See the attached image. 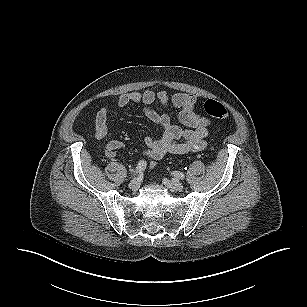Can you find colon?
I'll return each instance as SVG.
<instances>
[{
  "label": "colon",
  "instance_id": "1",
  "mask_svg": "<svg viewBox=\"0 0 307 307\" xmlns=\"http://www.w3.org/2000/svg\"><path fill=\"white\" fill-rule=\"evenodd\" d=\"M204 111L207 115L216 120H223L228 116L226 108L213 99H209L204 103Z\"/></svg>",
  "mask_w": 307,
  "mask_h": 307
}]
</instances>
